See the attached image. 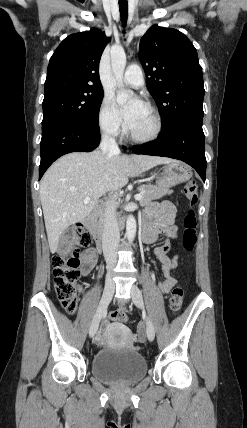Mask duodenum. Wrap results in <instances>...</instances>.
Instances as JSON below:
<instances>
[{"mask_svg": "<svg viewBox=\"0 0 247 428\" xmlns=\"http://www.w3.org/2000/svg\"><path fill=\"white\" fill-rule=\"evenodd\" d=\"M98 210L99 206L84 219V225L91 232L96 249L101 251L103 249L105 239L98 224Z\"/></svg>", "mask_w": 247, "mask_h": 428, "instance_id": "duodenum-1", "label": "duodenum"}]
</instances>
